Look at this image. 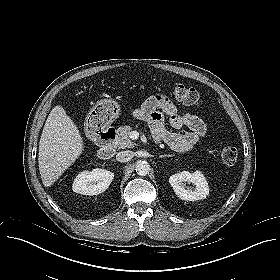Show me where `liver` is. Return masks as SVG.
I'll use <instances>...</instances> for the list:
<instances>
[{
    "label": "liver",
    "instance_id": "obj_1",
    "mask_svg": "<svg viewBox=\"0 0 280 280\" xmlns=\"http://www.w3.org/2000/svg\"><path fill=\"white\" fill-rule=\"evenodd\" d=\"M83 144L78 127L62 106H55L39 142L38 165L45 187H50L78 159Z\"/></svg>",
    "mask_w": 280,
    "mask_h": 280
}]
</instances>
